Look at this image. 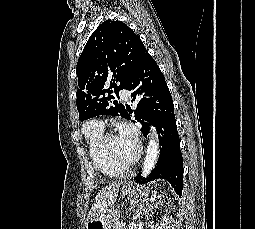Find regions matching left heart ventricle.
<instances>
[{"instance_id": "1", "label": "left heart ventricle", "mask_w": 255, "mask_h": 229, "mask_svg": "<svg viewBox=\"0 0 255 229\" xmlns=\"http://www.w3.org/2000/svg\"><path fill=\"white\" fill-rule=\"evenodd\" d=\"M107 148L113 159L121 162L130 161L137 151V149L124 143L118 136L111 137L108 140Z\"/></svg>"}]
</instances>
